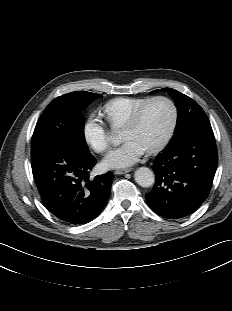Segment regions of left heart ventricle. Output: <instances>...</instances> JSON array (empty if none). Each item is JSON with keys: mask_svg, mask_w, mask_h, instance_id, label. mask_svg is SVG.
<instances>
[{"mask_svg": "<svg viewBox=\"0 0 232 311\" xmlns=\"http://www.w3.org/2000/svg\"><path fill=\"white\" fill-rule=\"evenodd\" d=\"M171 108L167 102L157 101L151 104L139 124L132 129L122 131L123 140H137L146 149L157 144L165 135L170 121Z\"/></svg>", "mask_w": 232, "mask_h": 311, "instance_id": "left-heart-ventricle-1", "label": "left heart ventricle"}]
</instances>
